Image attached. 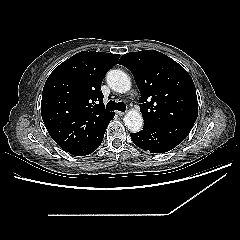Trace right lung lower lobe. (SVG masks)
I'll return each instance as SVG.
<instances>
[{
	"instance_id": "right-lung-lower-lobe-1",
	"label": "right lung lower lobe",
	"mask_w": 240,
	"mask_h": 240,
	"mask_svg": "<svg viewBox=\"0 0 240 240\" xmlns=\"http://www.w3.org/2000/svg\"><path fill=\"white\" fill-rule=\"evenodd\" d=\"M113 117H114V115H113ZM113 117H112V119H113ZM107 126H106V128H107ZM106 128H104V130L98 136L96 141H94L92 144H90L89 146H87L86 148H84V149H82L80 151H77V152H74V153H70V154L75 155V156H84V155H88V154L92 153L93 151H95L100 146V144L103 141V137H104Z\"/></svg>"
}]
</instances>
